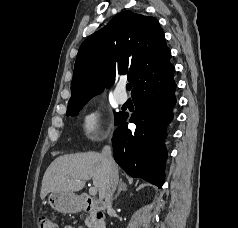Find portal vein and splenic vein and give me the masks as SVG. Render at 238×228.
<instances>
[{
    "mask_svg": "<svg viewBox=\"0 0 238 228\" xmlns=\"http://www.w3.org/2000/svg\"><path fill=\"white\" fill-rule=\"evenodd\" d=\"M83 179H84V180H89L90 178H89V177H84ZM89 194H90L91 196L97 195V189H96L95 187H90V188H89Z\"/></svg>",
    "mask_w": 238,
    "mask_h": 228,
    "instance_id": "18ae733b",
    "label": "portal vein and splenic vein"
}]
</instances>
